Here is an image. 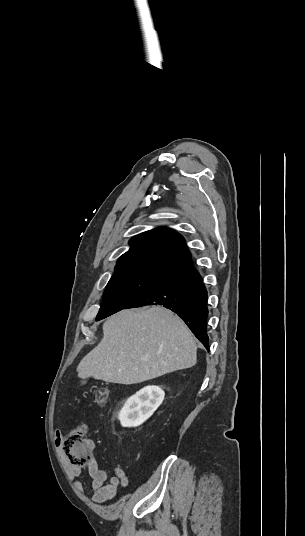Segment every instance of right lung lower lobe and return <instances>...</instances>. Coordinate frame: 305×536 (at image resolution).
Wrapping results in <instances>:
<instances>
[{"label":"right lung lower lobe","instance_id":"right-lung-lower-lobe-1","mask_svg":"<svg viewBox=\"0 0 305 536\" xmlns=\"http://www.w3.org/2000/svg\"><path fill=\"white\" fill-rule=\"evenodd\" d=\"M156 304L163 305L178 314L209 350L207 290L193 265L166 276L155 287L124 309Z\"/></svg>","mask_w":305,"mask_h":536}]
</instances>
